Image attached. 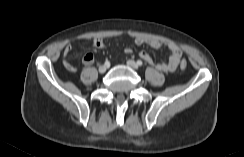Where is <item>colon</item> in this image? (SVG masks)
<instances>
[{
  "mask_svg": "<svg viewBox=\"0 0 244 157\" xmlns=\"http://www.w3.org/2000/svg\"><path fill=\"white\" fill-rule=\"evenodd\" d=\"M186 67H187L186 60H182L181 63H180V68L181 69H185ZM67 69L70 70V71H74L75 70V67L73 65L69 64L68 67H67Z\"/></svg>",
  "mask_w": 244,
  "mask_h": 157,
  "instance_id": "5ec220e1",
  "label": "colon"
}]
</instances>
